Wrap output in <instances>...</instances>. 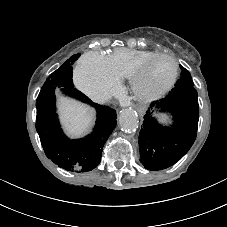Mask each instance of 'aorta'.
<instances>
[{"mask_svg": "<svg viewBox=\"0 0 227 227\" xmlns=\"http://www.w3.org/2000/svg\"><path fill=\"white\" fill-rule=\"evenodd\" d=\"M138 115L132 109H124L119 116V125L125 132L131 133L138 128Z\"/></svg>", "mask_w": 227, "mask_h": 227, "instance_id": "1", "label": "aorta"}]
</instances>
